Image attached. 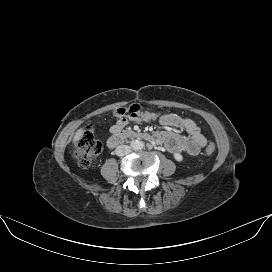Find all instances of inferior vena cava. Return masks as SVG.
Returning a JSON list of instances; mask_svg holds the SVG:
<instances>
[{
	"instance_id": "inferior-vena-cava-1",
	"label": "inferior vena cava",
	"mask_w": 272,
	"mask_h": 272,
	"mask_svg": "<svg viewBox=\"0 0 272 272\" xmlns=\"http://www.w3.org/2000/svg\"><path fill=\"white\" fill-rule=\"evenodd\" d=\"M131 152V147L128 145H119L115 149V154L119 157L125 156Z\"/></svg>"
}]
</instances>
